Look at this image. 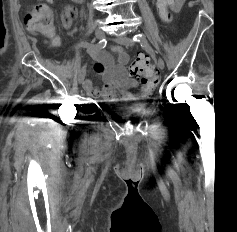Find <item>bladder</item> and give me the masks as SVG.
Segmentation results:
<instances>
[{"label":"bladder","mask_w":237,"mask_h":232,"mask_svg":"<svg viewBox=\"0 0 237 232\" xmlns=\"http://www.w3.org/2000/svg\"><path fill=\"white\" fill-rule=\"evenodd\" d=\"M144 100H128L125 102H110L106 103V109L114 114L127 116L138 112L143 107Z\"/></svg>","instance_id":"bladder-1"}]
</instances>
